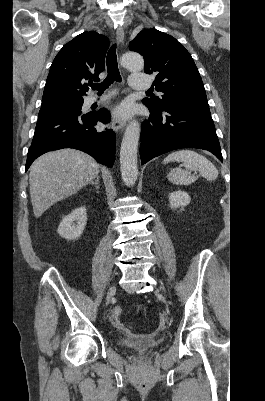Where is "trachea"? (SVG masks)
Returning a JSON list of instances; mask_svg holds the SVG:
<instances>
[{
  "instance_id": "trachea-1",
  "label": "trachea",
  "mask_w": 265,
  "mask_h": 401,
  "mask_svg": "<svg viewBox=\"0 0 265 401\" xmlns=\"http://www.w3.org/2000/svg\"><path fill=\"white\" fill-rule=\"evenodd\" d=\"M107 63V77L101 83H90L89 86L93 90H97L98 92H103L106 88H108L114 81L120 82L121 76L118 69L117 63V55H116V45L114 44L110 50L108 51L106 57ZM146 93H153V90H148Z\"/></svg>"
}]
</instances>
